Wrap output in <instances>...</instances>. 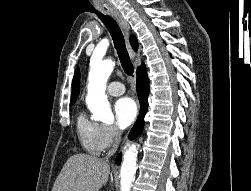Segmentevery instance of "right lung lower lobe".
I'll use <instances>...</instances> for the list:
<instances>
[{"mask_svg": "<svg viewBox=\"0 0 251 191\" xmlns=\"http://www.w3.org/2000/svg\"><path fill=\"white\" fill-rule=\"evenodd\" d=\"M136 90H137V94H138L139 102H140V113L134 127L132 128L130 132V135H129L130 139H134L138 135H140L144 127V116L148 108L147 98L149 95V80L147 77V73L137 77ZM115 162L117 164L121 163V154L118 155Z\"/></svg>", "mask_w": 251, "mask_h": 191, "instance_id": "right-lung-lower-lobe-1", "label": "right lung lower lobe"}]
</instances>
